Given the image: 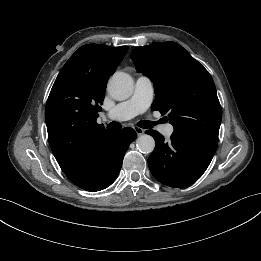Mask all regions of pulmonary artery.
I'll return each instance as SVG.
<instances>
[{"instance_id": "obj_1", "label": "pulmonary artery", "mask_w": 261, "mask_h": 261, "mask_svg": "<svg viewBox=\"0 0 261 261\" xmlns=\"http://www.w3.org/2000/svg\"><path fill=\"white\" fill-rule=\"evenodd\" d=\"M154 96V86L152 80L140 75L136 79L132 96L126 101L118 103L107 114L106 117L114 121H124L131 119L145 112L152 103ZM165 136H170L174 128L171 124L164 125L161 128Z\"/></svg>"}]
</instances>
